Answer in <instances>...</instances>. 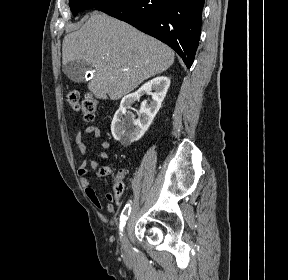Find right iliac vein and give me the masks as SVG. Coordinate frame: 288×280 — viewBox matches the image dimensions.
Listing matches in <instances>:
<instances>
[{
	"label": "right iliac vein",
	"instance_id": "right-iliac-vein-1",
	"mask_svg": "<svg viewBox=\"0 0 288 280\" xmlns=\"http://www.w3.org/2000/svg\"><path fill=\"white\" fill-rule=\"evenodd\" d=\"M121 245H122V251L124 254H127L129 251V242H128V238L126 235V231L123 234V237L121 239Z\"/></svg>",
	"mask_w": 288,
	"mask_h": 280
}]
</instances>
